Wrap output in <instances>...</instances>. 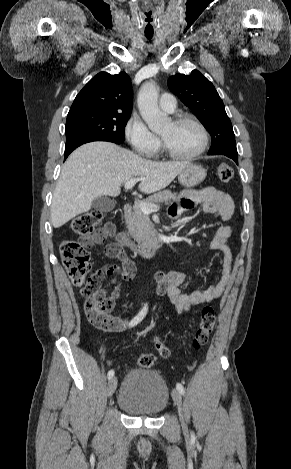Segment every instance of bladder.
Listing matches in <instances>:
<instances>
[{
	"label": "bladder",
	"instance_id": "bladder-1",
	"mask_svg": "<svg viewBox=\"0 0 291 469\" xmlns=\"http://www.w3.org/2000/svg\"><path fill=\"white\" fill-rule=\"evenodd\" d=\"M168 402L169 390L163 378L143 368L127 372L117 397L119 407L136 416H157Z\"/></svg>",
	"mask_w": 291,
	"mask_h": 469
}]
</instances>
